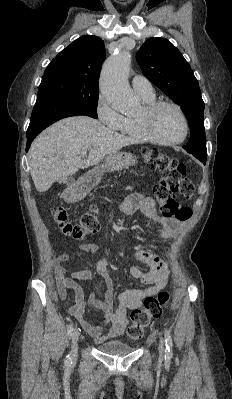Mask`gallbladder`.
Returning <instances> with one entry per match:
<instances>
[{
	"instance_id": "bac80fb5",
	"label": "gallbladder",
	"mask_w": 232,
	"mask_h": 399,
	"mask_svg": "<svg viewBox=\"0 0 232 399\" xmlns=\"http://www.w3.org/2000/svg\"><path fill=\"white\" fill-rule=\"evenodd\" d=\"M74 182V178H65V180H63V184H74Z\"/></svg>"
}]
</instances>
